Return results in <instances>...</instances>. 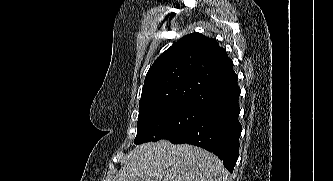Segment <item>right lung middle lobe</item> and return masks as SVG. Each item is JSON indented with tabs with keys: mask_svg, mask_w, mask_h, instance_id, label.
Wrapping results in <instances>:
<instances>
[{
	"mask_svg": "<svg viewBox=\"0 0 333 181\" xmlns=\"http://www.w3.org/2000/svg\"><path fill=\"white\" fill-rule=\"evenodd\" d=\"M204 110L190 104H167L141 110L134 143L173 139L187 130Z\"/></svg>",
	"mask_w": 333,
	"mask_h": 181,
	"instance_id": "1",
	"label": "right lung middle lobe"
}]
</instances>
